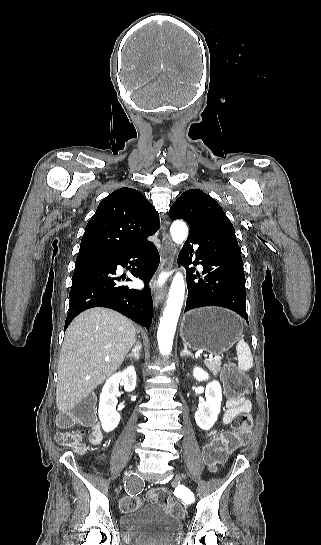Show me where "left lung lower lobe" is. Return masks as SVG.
<instances>
[{
  "label": "left lung lower lobe",
  "mask_w": 321,
  "mask_h": 545,
  "mask_svg": "<svg viewBox=\"0 0 321 545\" xmlns=\"http://www.w3.org/2000/svg\"><path fill=\"white\" fill-rule=\"evenodd\" d=\"M199 245L193 249V245ZM179 261L184 267L203 265L202 279L196 280L192 268L187 269L188 298L185 311L204 306L231 309L247 323L246 290L242 257L232 224L215 222L191 228ZM199 277V274H197Z\"/></svg>",
  "instance_id": "left-lung-lower-lobe-1"
}]
</instances>
